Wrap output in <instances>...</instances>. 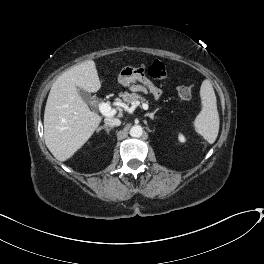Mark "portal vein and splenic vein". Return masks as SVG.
Instances as JSON below:
<instances>
[{"label": "portal vein and splenic vein", "mask_w": 264, "mask_h": 264, "mask_svg": "<svg viewBox=\"0 0 264 264\" xmlns=\"http://www.w3.org/2000/svg\"><path fill=\"white\" fill-rule=\"evenodd\" d=\"M100 112L107 117L113 116L115 114V110L111 108V106L108 103L102 102L99 104L98 106ZM142 108L144 110L148 109V104L147 103H143L142 104Z\"/></svg>", "instance_id": "18ae733b"}]
</instances>
